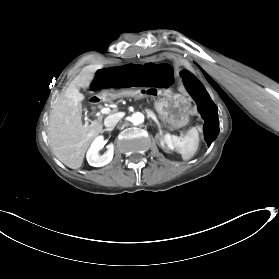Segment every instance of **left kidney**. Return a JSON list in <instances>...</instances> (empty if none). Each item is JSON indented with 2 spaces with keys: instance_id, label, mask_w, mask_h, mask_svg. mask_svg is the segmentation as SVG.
Masks as SVG:
<instances>
[{
  "instance_id": "obj_1",
  "label": "left kidney",
  "mask_w": 279,
  "mask_h": 279,
  "mask_svg": "<svg viewBox=\"0 0 279 279\" xmlns=\"http://www.w3.org/2000/svg\"><path fill=\"white\" fill-rule=\"evenodd\" d=\"M159 142H160L161 147L165 148V149L171 148L173 146L172 137L170 134H165L164 136L159 135Z\"/></svg>"
}]
</instances>
